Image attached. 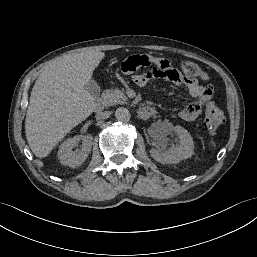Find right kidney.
<instances>
[{
  "instance_id": "1",
  "label": "right kidney",
  "mask_w": 257,
  "mask_h": 257,
  "mask_svg": "<svg viewBox=\"0 0 257 257\" xmlns=\"http://www.w3.org/2000/svg\"><path fill=\"white\" fill-rule=\"evenodd\" d=\"M93 137L91 135L75 136L65 140L59 147L58 156L63 165L78 167L82 165L91 151ZM81 148L73 150L79 142Z\"/></svg>"
}]
</instances>
